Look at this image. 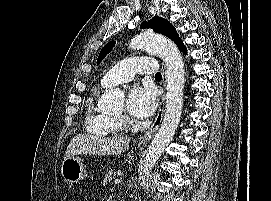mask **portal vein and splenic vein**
Wrapping results in <instances>:
<instances>
[{"instance_id":"1","label":"portal vein and splenic vein","mask_w":271,"mask_h":201,"mask_svg":"<svg viewBox=\"0 0 271 201\" xmlns=\"http://www.w3.org/2000/svg\"><path fill=\"white\" fill-rule=\"evenodd\" d=\"M114 183H115V184H120V183H121V179H116V180H114Z\"/></svg>"}]
</instances>
